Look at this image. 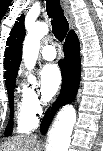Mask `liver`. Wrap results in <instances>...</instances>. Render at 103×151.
<instances>
[{"label":"liver","mask_w":103,"mask_h":151,"mask_svg":"<svg viewBox=\"0 0 103 151\" xmlns=\"http://www.w3.org/2000/svg\"><path fill=\"white\" fill-rule=\"evenodd\" d=\"M40 144L36 135H19L4 142L0 151H39Z\"/></svg>","instance_id":"1"}]
</instances>
